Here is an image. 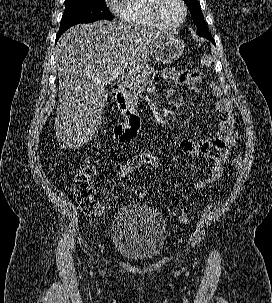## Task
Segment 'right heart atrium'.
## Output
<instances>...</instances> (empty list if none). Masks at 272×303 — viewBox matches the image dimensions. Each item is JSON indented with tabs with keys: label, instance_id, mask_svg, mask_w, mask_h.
Wrapping results in <instances>:
<instances>
[{
	"label": "right heart atrium",
	"instance_id": "right-heart-atrium-1",
	"mask_svg": "<svg viewBox=\"0 0 272 303\" xmlns=\"http://www.w3.org/2000/svg\"><path fill=\"white\" fill-rule=\"evenodd\" d=\"M108 3L112 9H116L118 6V0H108Z\"/></svg>",
	"mask_w": 272,
	"mask_h": 303
}]
</instances>
